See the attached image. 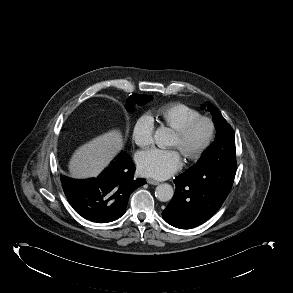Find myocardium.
I'll list each match as a JSON object with an SVG mask.
<instances>
[{"mask_svg": "<svg viewBox=\"0 0 293 293\" xmlns=\"http://www.w3.org/2000/svg\"><path fill=\"white\" fill-rule=\"evenodd\" d=\"M201 124H206L208 127V134L202 145L195 150H181L184 156L189 160L200 158L210 148L215 139L216 125L211 118L206 116H199L176 131V135L179 137V139L181 141H186L194 132V130Z\"/></svg>", "mask_w": 293, "mask_h": 293, "instance_id": "obj_1", "label": "myocardium"}]
</instances>
